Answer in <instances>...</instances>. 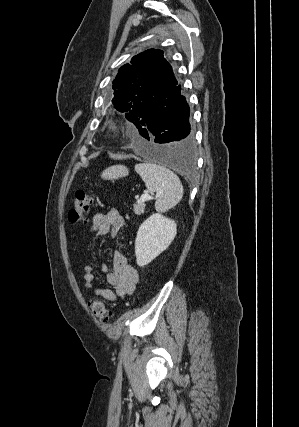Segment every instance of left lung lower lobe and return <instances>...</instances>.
Masks as SVG:
<instances>
[{
    "instance_id": "1",
    "label": "left lung lower lobe",
    "mask_w": 299,
    "mask_h": 427,
    "mask_svg": "<svg viewBox=\"0 0 299 427\" xmlns=\"http://www.w3.org/2000/svg\"><path fill=\"white\" fill-rule=\"evenodd\" d=\"M189 113L180 85L169 90L162 100L140 108L134 125L150 143H140L139 150L158 163L182 172L191 171L194 138Z\"/></svg>"
}]
</instances>
